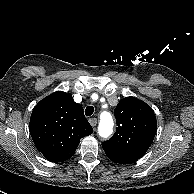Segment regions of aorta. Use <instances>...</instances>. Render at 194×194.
Instances as JSON below:
<instances>
[{
	"label": "aorta",
	"mask_w": 194,
	"mask_h": 194,
	"mask_svg": "<svg viewBox=\"0 0 194 194\" xmlns=\"http://www.w3.org/2000/svg\"><path fill=\"white\" fill-rule=\"evenodd\" d=\"M113 118L109 112H102L100 115V123L98 127V133L102 138H108L113 131Z\"/></svg>",
	"instance_id": "762f6f07"
}]
</instances>
